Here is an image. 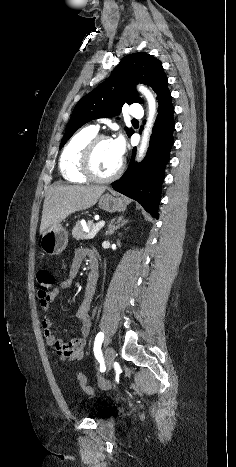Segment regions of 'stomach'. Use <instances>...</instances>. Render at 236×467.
Masks as SVG:
<instances>
[{
  "instance_id": "stomach-1",
  "label": "stomach",
  "mask_w": 236,
  "mask_h": 467,
  "mask_svg": "<svg viewBox=\"0 0 236 467\" xmlns=\"http://www.w3.org/2000/svg\"><path fill=\"white\" fill-rule=\"evenodd\" d=\"M99 208L113 213L123 212L126 209L124 200L110 194H104L98 202ZM68 244V233L62 225H57L48 230L41 238L40 246L48 255H58L65 250Z\"/></svg>"
}]
</instances>
